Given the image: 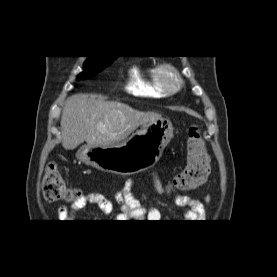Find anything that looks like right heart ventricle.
Instances as JSON below:
<instances>
[{"mask_svg":"<svg viewBox=\"0 0 277 277\" xmlns=\"http://www.w3.org/2000/svg\"><path fill=\"white\" fill-rule=\"evenodd\" d=\"M127 90L135 96L146 98H163L167 95L161 88L156 68L152 65L133 68L130 71Z\"/></svg>","mask_w":277,"mask_h":277,"instance_id":"right-heart-ventricle-1","label":"right heart ventricle"}]
</instances>
